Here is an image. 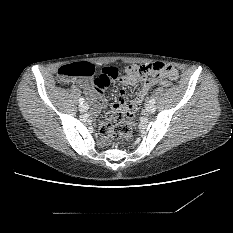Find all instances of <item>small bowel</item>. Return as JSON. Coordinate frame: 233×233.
Returning a JSON list of instances; mask_svg holds the SVG:
<instances>
[{"label": "small bowel", "instance_id": "obj_1", "mask_svg": "<svg viewBox=\"0 0 233 233\" xmlns=\"http://www.w3.org/2000/svg\"><path fill=\"white\" fill-rule=\"evenodd\" d=\"M118 73L119 70L116 67L110 66L103 68L101 79L98 83H96L95 89H93L91 81L87 78H78L75 80V82L80 87H82L90 97L96 99L98 110L108 111L121 110L127 107H132L136 109L142 103L144 97L149 92L152 86H168L170 84V81L176 76L174 72L169 76H160L153 82H145L141 86L135 98L131 101H127L126 93L124 90H122L119 93L118 99L114 102H110L105 96V89L111 81L117 78ZM119 80L124 86H134L140 81L138 79L128 77L127 75H122Z\"/></svg>", "mask_w": 233, "mask_h": 233}]
</instances>
